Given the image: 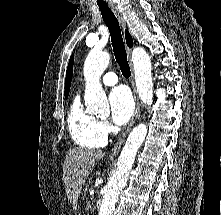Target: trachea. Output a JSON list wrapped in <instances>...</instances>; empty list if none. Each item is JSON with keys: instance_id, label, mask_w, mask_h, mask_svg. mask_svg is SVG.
<instances>
[{"instance_id": "1", "label": "trachea", "mask_w": 221, "mask_h": 215, "mask_svg": "<svg viewBox=\"0 0 221 215\" xmlns=\"http://www.w3.org/2000/svg\"><path fill=\"white\" fill-rule=\"evenodd\" d=\"M98 6L101 11L102 18L110 31L111 42L116 61L120 66L123 76L128 78L131 75V71L127 61V54L118 19L115 17L114 13L111 11L107 4L98 3Z\"/></svg>"}]
</instances>
